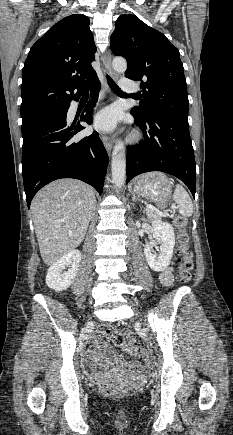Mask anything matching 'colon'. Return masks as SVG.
Wrapping results in <instances>:
<instances>
[{
	"mask_svg": "<svg viewBox=\"0 0 233 435\" xmlns=\"http://www.w3.org/2000/svg\"><path fill=\"white\" fill-rule=\"evenodd\" d=\"M174 225L177 230L178 251H177V275L182 283H188L191 278V270L193 268L192 252L189 247V236L187 232V220L183 216L174 218ZM99 334L111 338L114 344L121 345L127 340L134 342L133 338L126 332L116 331L110 325H100L98 327ZM101 392L109 397H122L126 394V389L113 382H103L100 386Z\"/></svg>",
	"mask_w": 233,
	"mask_h": 435,
	"instance_id": "obj_1",
	"label": "colon"
}]
</instances>
